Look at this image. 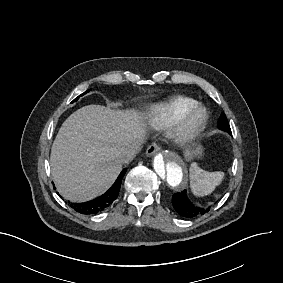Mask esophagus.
<instances>
[{
  "label": "esophagus",
  "mask_w": 283,
  "mask_h": 283,
  "mask_svg": "<svg viewBox=\"0 0 283 283\" xmlns=\"http://www.w3.org/2000/svg\"><path fill=\"white\" fill-rule=\"evenodd\" d=\"M161 150L160 146L157 143H152L146 150L147 156H153L154 154L158 153ZM170 157L175 158L176 160H180L179 156L173 152H169L168 154Z\"/></svg>",
  "instance_id": "esophagus-1"
}]
</instances>
